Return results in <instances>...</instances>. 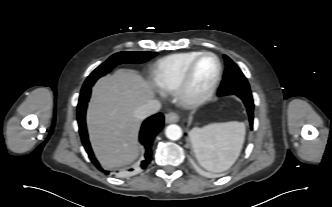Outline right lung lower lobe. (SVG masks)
<instances>
[{
    "label": "right lung lower lobe",
    "mask_w": 332,
    "mask_h": 207,
    "mask_svg": "<svg viewBox=\"0 0 332 207\" xmlns=\"http://www.w3.org/2000/svg\"><path fill=\"white\" fill-rule=\"evenodd\" d=\"M91 94V88H87L81 91L78 106H77V120L79 124V132L81 136L82 143L84 145V148L86 152L88 153V156L92 163L102 172H104L106 175L110 174L111 171L104 170L97 159L95 158L93 151L91 149L89 140H88V134L86 129V123H85V113L87 108V102L89 101ZM164 123V116L161 113L155 114L148 119H146L141 127L139 141L145 148V154L144 159L140 163V167L142 169H145L148 164L152 160V143L155 138V136L161 131L163 128ZM134 169H129L127 173L130 171H133Z\"/></svg>",
    "instance_id": "obj_1"
}]
</instances>
